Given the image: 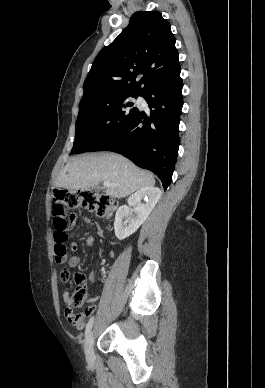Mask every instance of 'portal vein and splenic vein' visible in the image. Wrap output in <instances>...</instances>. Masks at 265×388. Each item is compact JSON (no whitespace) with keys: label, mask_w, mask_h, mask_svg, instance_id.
<instances>
[{"label":"portal vein and splenic vein","mask_w":265,"mask_h":388,"mask_svg":"<svg viewBox=\"0 0 265 388\" xmlns=\"http://www.w3.org/2000/svg\"><path fill=\"white\" fill-rule=\"evenodd\" d=\"M103 186H106V188H109V186H117V184H110V182H104Z\"/></svg>","instance_id":"obj_1"}]
</instances>
